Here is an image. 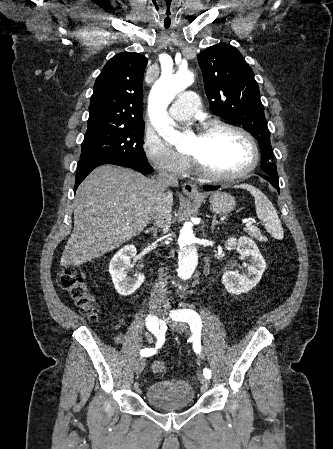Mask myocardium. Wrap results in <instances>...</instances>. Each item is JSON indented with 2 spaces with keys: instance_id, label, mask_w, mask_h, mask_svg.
I'll return each mask as SVG.
<instances>
[{
  "instance_id": "myocardium-1",
  "label": "myocardium",
  "mask_w": 333,
  "mask_h": 449,
  "mask_svg": "<svg viewBox=\"0 0 333 449\" xmlns=\"http://www.w3.org/2000/svg\"><path fill=\"white\" fill-rule=\"evenodd\" d=\"M227 130L242 136L249 144L251 149V161L243 169L230 174H217L208 170L205 165L195 156L190 155L191 160L198 173L205 179L212 182H228L240 179L251 173L259 162V149L255 138L245 129L223 121L206 122L201 128V134H207L213 131Z\"/></svg>"
}]
</instances>
